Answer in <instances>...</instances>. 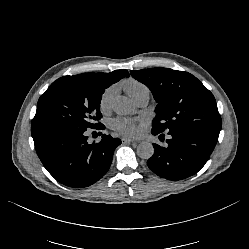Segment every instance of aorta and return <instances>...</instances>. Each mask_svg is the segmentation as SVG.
Wrapping results in <instances>:
<instances>
[{
  "instance_id": "1",
  "label": "aorta",
  "mask_w": 249,
  "mask_h": 249,
  "mask_svg": "<svg viewBox=\"0 0 249 249\" xmlns=\"http://www.w3.org/2000/svg\"><path fill=\"white\" fill-rule=\"evenodd\" d=\"M112 108L118 115H129L133 112L132 102L124 96H117L112 102ZM154 154V147L149 142H141L137 146V155L142 159H149Z\"/></svg>"
}]
</instances>
